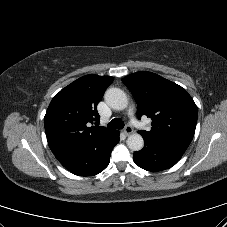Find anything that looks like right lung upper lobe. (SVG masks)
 Segmentation results:
<instances>
[{
    "label": "right lung upper lobe",
    "mask_w": 227,
    "mask_h": 227,
    "mask_svg": "<svg viewBox=\"0 0 227 227\" xmlns=\"http://www.w3.org/2000/svg\"><path fill=\"white\" fill-rule=\"evenodd\" d=\"M113 80L111 76L86 75L55 95L44 117L48 145L55 156L78 151L115 131L90 127L99 121L96 107Z\"/></svg>",
    "instance_id": "obj_1"
}]
</instances>
